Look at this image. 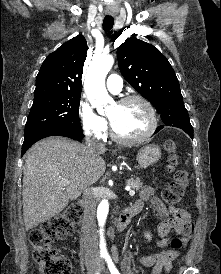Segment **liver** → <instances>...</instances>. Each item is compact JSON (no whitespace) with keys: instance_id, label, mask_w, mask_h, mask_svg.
<instances>
[{"instance_id":"obj_1","label":"liver","mask_w":221,"mask_h":274,"mask_svg":"<svg viewBox=\"0 0 221 274\" xmlns=\"http://www.w3.org/2000/svg\"><path fill=\"white\" fill-rule=\"evenodd\" d=\"M105 149L92 151L78 142L50 137L26 153L23 216L28 231L58 215L105 172ZM69 182V183H67Z\"/></svg>"}]
</instances>
